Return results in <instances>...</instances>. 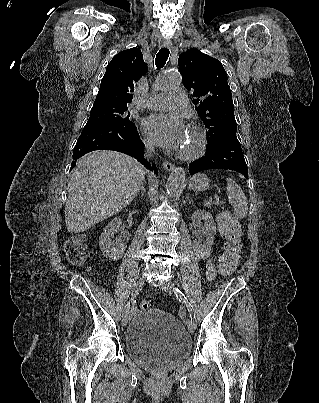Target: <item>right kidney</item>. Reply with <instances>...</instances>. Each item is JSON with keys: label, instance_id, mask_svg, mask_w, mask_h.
<instances>
[{"label": "right kidney", "instance_id": "right-kidney-1", "mask_svg": "<svg viewBox=\"0 0 319 403\" xmlns=\"http://www.w3.org/2000/svg\"><path fill=\"white\" fill-rule=\"evenodd\" d=\"M122 224V219L116 217L109 222L103 229V233L99 238V245L106 258L111 261H117L122 258L127 245L125 244V238L121 235L115 237L116 232L119 230Z\"/></svg>", "mask_w": 319, "mask_h": 403}]
</instances>
